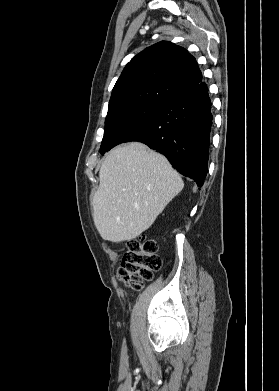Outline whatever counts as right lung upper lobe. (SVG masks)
<instances>
[{
	"mask_svg": "<svg viewBox=\"0 0 279 391\" xmlns=\"http://www.w3.org/2000/svg\"><path fill=\"white\" fill-rule=\"evenodd\" d=\"M200 82L195 58L184 48L162 41L126 65L112 90L108 112L142 103L163 105Z\"/></svg>",
	"mask_w": 279,
	"mask_h": 391,
	"instance_id": "right-lung-upper-lobe-1",
	"label": "right lung upper lobe"
}]
</instances>
